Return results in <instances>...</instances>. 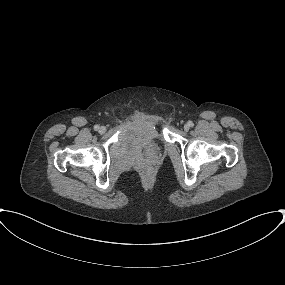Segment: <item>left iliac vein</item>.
<instances>
[{"mask_svg":"<svg viewBox=\"0 0 285 285\" xmlns=\"http://www.w3.org/2000/svg\"><path fill=\"white\" fill-rule=\"evenodd\" d=\"M189 128H190V126H189L188 124H185V125H184V130H185V131H188Z\"/></svg>","mask_w":285,"mask_h":285,"instance_id":"4c4485c4","label":"left iliac vein"}]
</instances>
